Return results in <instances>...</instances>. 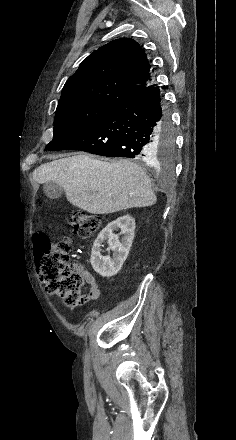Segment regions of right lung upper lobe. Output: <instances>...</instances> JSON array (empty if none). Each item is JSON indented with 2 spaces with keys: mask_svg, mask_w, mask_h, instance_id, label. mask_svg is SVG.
I'll return each mask as SVG.
<instances>
[{
  "mask_svg": "<svg viewBox=\"0 0 236 440\" xmlns=\"http://www.w3.org/2000/svg\"><path fill=\"white\" fill-rule=\"evenodd\" d=\"M153 85L144 50L130 38L100 47L66 81L59 104L93 101L118 106Z\"/></svg>",
  "mask_w": 236,
  "mask_h": 440,
  "instance_id": "right-lung-upper-lobe-1",
  "label": "right lung upper lobe"
}]
</instances>
